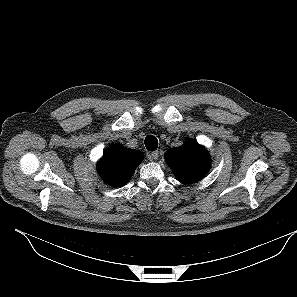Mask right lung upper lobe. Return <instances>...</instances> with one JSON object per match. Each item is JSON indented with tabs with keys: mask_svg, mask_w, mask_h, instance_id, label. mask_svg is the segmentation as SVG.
I'll return each instance as SVG.
<instances>
[{
	"mask_svg": "<svg viewBox=\"0 0 297 297\" xmlns=\"http://www.w3.org/2000/svg\"><path fill=\"white\" fill-rule=\"evenodd\" d=\"M142 160L143 156L139 151L114 146L98 161L97 170L107 184L120 187L129 181Z\"/></svg>",
	"mask_w": 297,
	"mask_h": 297,
	"instance_id": "cb5924a9",
	"label": "right lung upper lobe"
}]
</instances>
